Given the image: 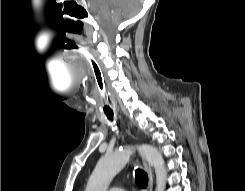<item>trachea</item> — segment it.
Returning a JSON list of instances; mask_svg holds the SVG:
<instances>
[{"label":"trachea","instance_id":"trachea-1","mask_svg":"<svg viewBox=\"0 0 245 191\" xmlns=\"http://www.w3.org/2000/svg\"><path fill=\"white\" fill-rule=\"evenodd\" d=\"M81 54L88 61V63L91 65L94 71L97 89L102 98L103 112L110 121H113L114 113L106 97L105 81L102 72L99 68V65L95 60V58L87 50L85 49L81 50ZM135 182L140 188L147 187L148 184L147 173L143 170L137 169L135 172Z\"/></svg>","mask_w":245,"mask_h":191}]
</instances>
